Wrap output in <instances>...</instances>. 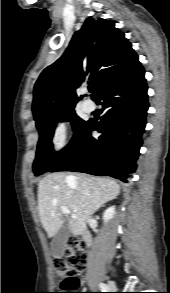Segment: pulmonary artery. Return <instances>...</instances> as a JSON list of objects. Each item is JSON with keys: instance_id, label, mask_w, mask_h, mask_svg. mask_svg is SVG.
<instances>
[{"instance_id": "1", "label": "pulmonary artery", "mask_w": 170, "mask_h": 293, "mask_svg": "<svg viewBox=\"0 0 170 293\" xmlns=\"http://www.w3.org/2000/svg\"><path fill=\"white\" fill-rule=\"evenodd\" d=\"M83 109L85 112H91L94 109V104L91 101H85L83 103Z\"/></svg>"}]
</instances>
